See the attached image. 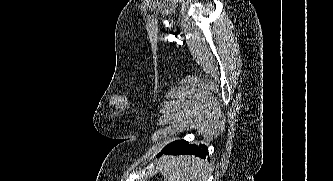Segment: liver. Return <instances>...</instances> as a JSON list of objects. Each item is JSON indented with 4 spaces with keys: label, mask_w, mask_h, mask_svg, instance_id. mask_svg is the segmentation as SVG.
I'll return each mask as SVG.
<instances>
[{
    "label": "liver",
    "mask_w": 333,
    "mask_h": 181,
    "mask_svg": "<svg viewBox=\"0 0 333 181\" xmlns=\"http://www.w3.org/2000/svg\"><path fill=\"white\" fill-rule=\"evenodd\" d=\"M158 170L164 181H207L209 163L195 156H162Z\"/></svg>",
    "instance_id": "6515ba94"
}]
</instances>
